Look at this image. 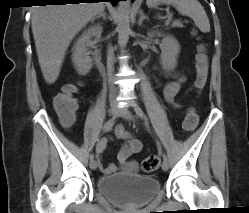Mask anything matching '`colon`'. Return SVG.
<instances>
[{
	"label": "colon",
	"mask_w": 249,
	"mask_h": 213,
	"mask_svg": "<svg viewBox=\"0 0 249 213\" xmlns=\"http://www.w3.org/2000/svg\"><path fill=\"white\" fill-rule=\"evenodd\" d=\"M208 75V57L205 45H200L196 56V77L195 87L200 90L204 87ZM78 91L76 85L67 84L63 87L61 93L54 98L53 105L56 112L62 120L73 123L78 105L75 95ZM198 114L196 110L190 107L184 116L182 127L185 131H192L198 124ZM160 165L158 156L151 155L146 157L142 162V170L146 173L156 171Z\"/></svg>",
	"instance_id": "5ec220e1"
}]
</instances>
